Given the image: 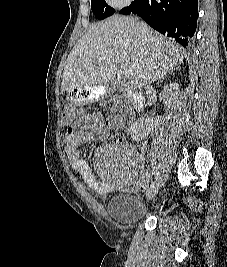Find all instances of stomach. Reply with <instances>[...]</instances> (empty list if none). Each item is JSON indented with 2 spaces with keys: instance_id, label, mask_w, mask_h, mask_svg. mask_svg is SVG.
<instances>
[{
  "instance_id": "0dacf381",
  "label": "stomach",
  "mask_w": 227,
  "mask_h": 267,
  "mask_svg": "<svg viewBox=\"0 0 227 267\" xmlns=\"http://www.w3.org/2000/svg\"><path fill=\"white\" fill-rule=\"evenodd\" d=\"M83 88L67 91V97L63 99V104H83L98 99L106 93V89L103 86L87 85Z\"/></svg>"
}]
</instances>
